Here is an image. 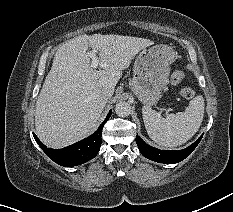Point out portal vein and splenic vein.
I'll return each mask as SVG.
<instances>
[{
	"label": "portal vein and splenic vein",
	"instance_id": "portal-vein-and-splenic-vein-1",
	"mask_svg": "<svg viewBox=\"0 0 233 212\" xmlns=\"http://www.w3.org/2000/svg\"><path fill=\"white\" fill-rule=\"evenodd\" d=\"M97 51L96 50H92L90 52H88V56L92 59V63H91V67L92 68H97L98 64H99V60L98 57L96 56Z\"/></svg>",
	"mask_w": 233,
	"mask_h": 212
}]
</instances>
